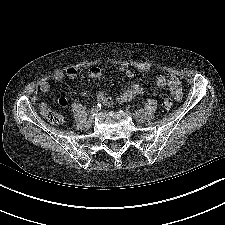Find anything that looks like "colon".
I'll use <instances>...</instances> for the list:
<instances>
[{"label": "colon", "mask_w": 225, "mask_h": 225, "mask_svg": "<svg viewBox=\"0 0 225 225\" xmlns=\"http://www.w3.org/2000/svg\"><path fill=\"white\" fill-rule=\"evenodd\" d=\"M173 101L171 98L167 97L163 102V109L165 111H169L172 108ZM46 119L54 125H60L64 122V117L61 113L54 111V110H48L45 113Z\"/></svg>", "instance_id": "obj_1"}]
</instances>
